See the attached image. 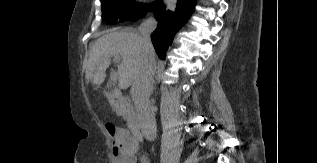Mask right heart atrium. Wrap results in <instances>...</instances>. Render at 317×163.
<instances>
[{
  "label": "right heart atrium",
  "instance_id": "d8ad5b80",
  "mask_svg": "<svg viewBox=\"0 0 317 163\" xmlns=\"http://www.w3.org/2000/svg\"><path fill=\"white\" fill-rule=\"evenodd\" d=\"M144 0H133V3H142Z\"/></svg>",
  "mask_w": 317,
  "mask_h": 163
}]
</instances>
